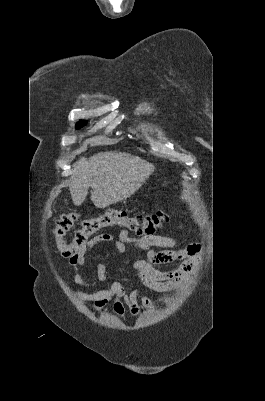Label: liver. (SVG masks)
<instances>
[{
	"mask_svg": "<svg viewBox=\"0 0 265 401\" xmlns=\"http://www.w3.org/2000/svg\"><path fill=\"white\" fill-rule=\"evenodd\" d=\"M69 190L75 207L84 203L91 186V201L97 209L121 203L149 178L154 164L129 152L106 150L90 158H79Z\"/></svg>",
	"mask_w": 265,
	"mask_h": 401,
	"instance_id": "1",
	"label": "liver"
}]
</instances>
